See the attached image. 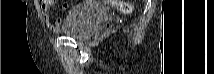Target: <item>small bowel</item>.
<instances>
[{
	"label": "small bowel",
	"mask_w": 214,
	"mask_h": 74,
	"mask_svg": "<svg viewBox=\"0 0 214 74\" xmlns=\"http://www.w3.org/2000/svg\"><path fill=\"white\" fill-rule=\"evenodd\" d=\"M51 1H41V10L43 14V18L47 24V27L52 31V32H59L60 31V18L53 19L50 15V6H51ZM69 9L68 4H63L61 7L62 12H66Z\"/></svg>",
	"instance_id": "obj_1"
}]
</instances>
